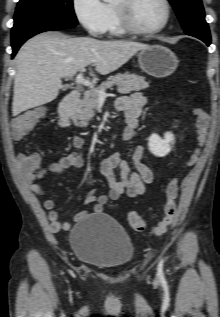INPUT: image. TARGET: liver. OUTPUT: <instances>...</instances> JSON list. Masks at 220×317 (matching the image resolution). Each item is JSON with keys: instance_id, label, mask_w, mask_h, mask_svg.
<instances>
[{"instance_id": "6515ba94", "label": "liver", "mask_w": 220, "mask_h": 317, "mask_svg": "<svg viewBox=\"0 0 220 317\" xmlns=\"http://www.w3.org/2000/svg\"><path fill=\"white\" fill-rule=\"evenodd\" d=\"M147 46L133 41L71 38L52 32L33 37L15 57L13 116L56 99L62 88L61 78L72 77L89 65L107 75ZM90 75L94 76L91 69Z\"/></svg>"}]
</instances>
